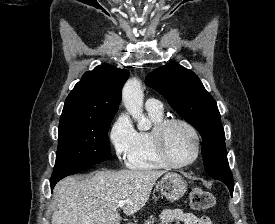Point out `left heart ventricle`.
Masks as SVG:
<instances>
[{"label":"left heart ventricle","instance_id":"1","mask_svg":"<svg viewBox=\"0 0 275 224\" xmlns=\"http://www.w3.org/2000/svg\"><path fill=\"white\" fill-rule=\"evenodd\" d=\"M165 146L169 157L176 163L189 161L195 152L193 135L181 124H173L167 129Z\"/></svg>","mask_w":275,"mask_h":224}]
</instances>
